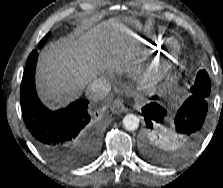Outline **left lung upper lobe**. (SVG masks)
<instances>
[{
	"label": "left lung upper lobe",
	"instance_id": "5c2ea615",
	"mask_svg": "<svg viewBox=\"0 0 223 188\" xmlns=\"http://www.w3.org/2000/svg\"><path fill=\"white\" fill-rule=\"evenodd\" d=\"M211 82L205 70H200L191 87V95L202 99H208L210 95ZM145 146L143 155L149 161L165 165L171 164L183 157L189 150H185L177 136L163 126L154 129L145 128Z\"/></svg>",
	"mask_w": 223,
	"mask_h": 188
}]
</instances>
